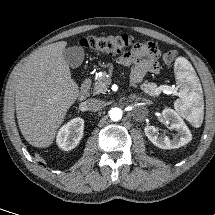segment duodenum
Instances as JSON below:
<instances>
[{
  "instance_id": "410a0bca",
  "label": "duodenum",
  "mask_w": 215,
  "mask_h": 215,
  "mask_svg": "<svg viewBox=\"0 0 215 215\" xmlns=\"http://www.w3.org/2000/svg\"><path fill=\"white\" fill-rule=\"evenodd\" d=\"M90 86H91V80H90V78H86L83 81L80 91H79V95H78L79 100H84L88 96Z\"/></svg>"
}]
</instances>
